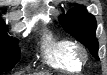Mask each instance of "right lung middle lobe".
<instances>
[{
	"label": "right lung middle lobe",
	"instance_id": "obj_1",
	"mask_svg": "<svg viewBox=\"0 0 107 75\" xmlns=\"http://www.w3.org/2000/svg\"><path fill=\"white\" fill-rule=\"evenodd\" d=\"M19 59L17 42L9 37L6 27L0 28V73L11 70Z\"/></svg>",
	"mask_w": 107,
	"mask_h": 75
}]
</instances>
